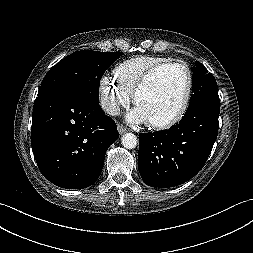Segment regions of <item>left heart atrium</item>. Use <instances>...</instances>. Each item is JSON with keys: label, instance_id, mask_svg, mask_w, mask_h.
Segmentation results:
<instances>
[{"label": "left heart atrium", "instance_id": "1", "mask_svg": "<svg viewBox=\"0 0 253 253\" xmlns=\"http://www.w3.org/2000/svg\"><path fill=\"white\" fill-rule=\"evenodd\" d=\"M127 120L132 124H140L147 121L145 115L137 106L127 114Z\"/></svg>", "mask_w": 253, "mask_h": 253}]
</instances>
